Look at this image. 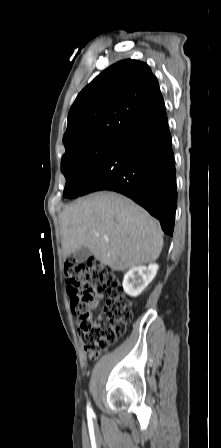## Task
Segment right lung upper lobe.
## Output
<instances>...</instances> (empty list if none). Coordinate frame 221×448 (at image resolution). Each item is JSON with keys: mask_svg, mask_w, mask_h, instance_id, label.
I'll return each instance as SVG.
<instances>
[{"mask_svg": "<svg viewBox=\"0 0 221 448\" xmlns=\"http://www.w3.org/2000/svg\"><path fill=\"white\" fill-rule=\"evenodd\" d=\"M162 106L163 97L150 67L138 60L119 61L77 96L63 136L66 152L88 142L118 138Z\"/></svg>", "mask_w": 221, "mask_h": 448, "instance_id": "obj_1", "label": "right lung upper lobe"}]
</instances>
